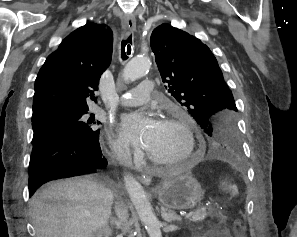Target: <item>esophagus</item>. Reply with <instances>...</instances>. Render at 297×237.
<instances>
[{
	"instance_id": "34e87169",
	"label": "esophagus",
	"mask_w": 297,
	"mask_h": 237,
	"mask_svg": "<svg viewBox=\"0 0 297 237\" xmlns=\"http://www.w3.org/2000/svg\"><path fill=\"white\" fill-rule=\"evenodd\" d=\"M122 27L124 30L134 31L136 29V20L132 15H127L122 19ZM140 181L144 185H150L152 182V177L148 171L144 172L140 176Z\"/></svg>"
}]
</instances>
